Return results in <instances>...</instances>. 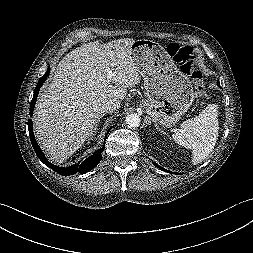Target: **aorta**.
Returning a JSON list of instances; mask_svg holds the SVG:
<instances>
[{"mask_svg": "<svg viewBox=\"0 0 253 253\" xmlns=\"http://www.w3.org/2000/svg\"><path fill=\"white\" fill-rule=\"evenodd\" d=\"M125 121L129 128H136L140 124V117L137 114H129Z\"/></svg>", "mask_w": 253, "mask_h": 253, "instance_id": "aorta-1", "label": "aorta"}]
</instances>
